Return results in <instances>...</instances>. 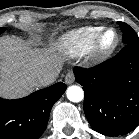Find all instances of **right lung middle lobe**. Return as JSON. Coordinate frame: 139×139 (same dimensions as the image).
Instances as JSON below:
<instances>
[{
    "mask_svg": "<svg viewBox=\"0 0 139 139\" xmlns=\"http://www.w3.org/2000/svg\"><path fill=\"white\" fill-rule=\"evenodd\" d=\"M5 31V28H0V34Z\"/></svg>",
    "mask_w": 139,
    "mask_h": 139,
    "instance_id": "right-lung-middle-lobe-1",
    "label": "right lung middle lobe"
}]
</instances>
